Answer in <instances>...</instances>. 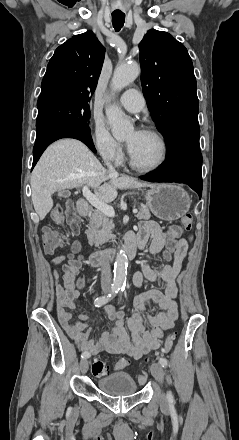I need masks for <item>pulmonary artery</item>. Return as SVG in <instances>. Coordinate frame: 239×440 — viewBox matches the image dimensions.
I'll return each instance as SVG.
<instances>
[{
	"label": "pulmonary artery",
	"instance_id": "e3ab8cb5",
	"mask_svg": "<svg viewBox=\"0 0 239 440\" xmlns=\"http://www.w3.org/2000/svg\"><path fill=\"white\" fill-rule=\"evenodd\" d=\"M121 105L131 112H140L145 105L140 92L135 89L126 90L120 97Z\"/></svg>",
	"mask_w": 239,
	"mask_h": 440
}]
</instances>
